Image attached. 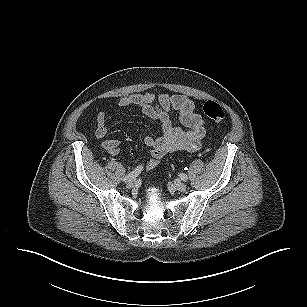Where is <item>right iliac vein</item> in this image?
Returning <instances> with one entry per match:
<instances>
[{"label": "right iliac vein", "mask_w": 307, "mask_h": 307, "mask_svg": "<svg viewBox=\"0 0 307 307\" xmlns=\"http://www.w3.org/2000/svg\"><path fill=\"white\" fill-rule=\"evenodd\" d=\"M136 184H137L136 181H131L127 184V188H134L136 187Z\"/></svg>", "instance_id": "obj_1"}]
</instances>
